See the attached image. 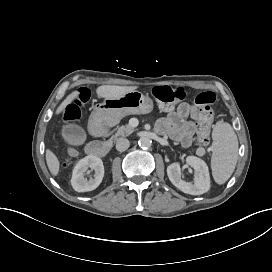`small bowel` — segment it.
Returning a JSON list of instances; mask_svg holds the SVG:
<instances>
[{
  "label": "small bowel",
  "mask_w": 272,
  "mask_h": 272,
  "mask_svg": "<svg viewBox=\"0 0 272 272\" xmlns=\"http://www.w3.org/2000/svg\"><path fill=\"white\" fill-rule=\"evenodd\" d=\"M164 108L166 116L156 122V131L168 135L183 147L190 146L194 134L199 130L197 106L182 102L176 109Z\"/></svg>",
  "instance_id": "c3829d8e"
}]
</instances>
